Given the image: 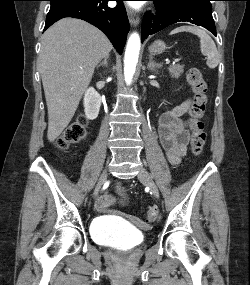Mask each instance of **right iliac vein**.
I'll use <instances>...</instances> for the list:
<instances>
[{"label": "right iliac vein", "instance_id": "63e3f726", "mask_svg": "<svg viewBox=\"0 0 250 285\" xmlns=\"http://www.w3.org/2000/svg\"><path fill=\"white\" fill-rule=\"evenodd\" d=\"M107 176H108V173H107V170H104L99 178V181L95 187V190H94V197H96L102 187V185L106 182L107 180Z\"/></svg>", "mask_w": 250, "mask_h": 285}]
</instances>
